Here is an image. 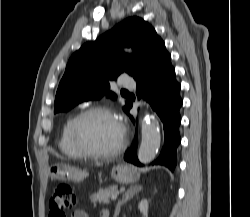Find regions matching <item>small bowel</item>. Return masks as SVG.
Masks as SVG:
<instances>
[{"label":"small bowel","instance_id":"small-bowel-1","mask_svg":"<svg viewBox=\"0 0 250 217\" xmlns=\"http://www.w3.org/2000/svg\"><path fill=\"white\" fill-rule=\"evenodd\" d=\"M103 211H107V210H103ZM103 211H101L100 217H101V214H102ZM71 217H89V216H88V213L85 210L78 209V210H75L72 213Z\"/></svg>","mask_w":250,"mask_h":217}]
</instances>
